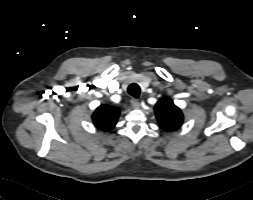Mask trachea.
Instances as JSON below:
<instances>
[{
  "label": "trachea",
  "instance_id": "trachea-1",
  "mask_svg": "<svg viewBox=\"0 0 253 200\" xmlns=\"http://www.w3.org/2000/svg\"><path fill=\"white\" fill-rule=\"evenodd\" d=\"M128 93H129L131 96H133V97H135V98H138L139 95H140V87H139V85H138V84H135V83L131 84V85L128 87Z\"/></svg>",
  "mask_w": 253,
  "mask_h": 200
}]
</instances>
